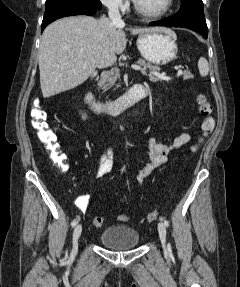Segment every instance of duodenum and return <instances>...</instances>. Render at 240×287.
<instances>
[{"mask_svg":"<svg viewBox=\"0 0 240 287\" xmlns=\"http://www.w3.org/2000/svg\"><path fill=\"white\" fill-rule=\"evenodd\" d=\"M147 96V93L142 84H134L120 97L108 100L97 101L91 92L86 93L85 102L96 112H107L111 114H118L137 103Z\"/></svg>","mask_w":240,"mask_h":287,"instance_id":"duodenum-1","label":"duodenum"}]
</instances>
